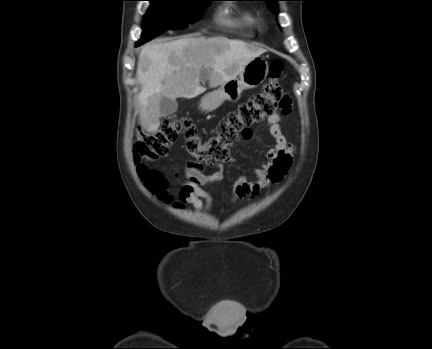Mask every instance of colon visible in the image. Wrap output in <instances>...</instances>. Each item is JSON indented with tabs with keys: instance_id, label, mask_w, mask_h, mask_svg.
<instances>
[{
	"instance_id": "5ec220e1",
	"label": "colon",
	"mask_w": 432,
	"mask_h": 349,
	"mask_svg": "<svg viewBox=\"0 0 432 349\" xmlns=\"http://www.w3.org/2000/svg\"><path fill=\"white\" fill-rule=\"evenodd\" d=\"M283 63L274 60L269 68V81L262 91L229 112L217 125L215 134L203 141L195 124L184 117H170L153 133L139 132L133 144L137 171L146 186L159 197H167L168 183L158 171L151 170L146 162L165 156L179 138L184 135L186 152L198 161L213 165L225 160L229 148L243 138L251 136L250 126L276 114L278 108H289L290 100L280 84Z\"/></svg>"
}]
</instances>
